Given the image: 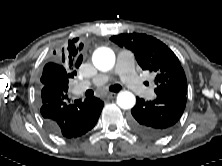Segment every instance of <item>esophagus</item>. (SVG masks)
<instances>
[{
  "instance_id": "esophagus-1",
  "label": "esophagus",
  "mask_w": 222,
  "mask_h": 166,
  "mask_svg": "<svg viewBox=\"0 0 222 166\" xmlns=\"http://www.w3.org/2000/svg\"><path fill=\"white\" fill-rule=\"evenodd\" d=\"M116 95H117V93H108V94L106 95V98H108V99H113V98L116 97Z\"/></svg>"
}]
</instances>
